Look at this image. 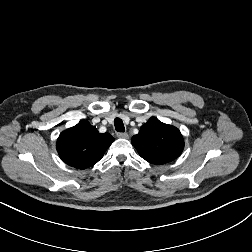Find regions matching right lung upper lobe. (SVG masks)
Returning <instances> with one entry per match:
<instances>
[{"instance_id": "obj_1", "label": "right lung upper lobe", "mask_w": 252, "mask_h": 252, "mask_svg": "<svg viewBox=\"0 0 252 252\" xmlns=\"http://www.w3.org/2000/svg\"><path fill=\"white\" fill-rule=\"evenodd\" d=\"M114 140L109 133L101 134L87 120H82L60 134L56 148L66 164L85 169L97 163Z\"/></svg>"}]
</instances>
